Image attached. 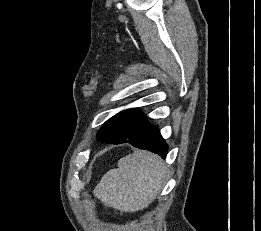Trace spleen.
I'll return each instance as SVG.
<instances>
[{
	"label": "spleen",
	"instance_id": "spleen-1",
	"mask_svg": "<svg viewBox=\"0 0 261 231\" xmlns=\"http://www.w3.org/2000/svg\"><path fill=\"white\" fill-rule=\"evenodd\" d=\"M167 168L161 158L145 151H135L118 161L94 189L104 205L121 212L146 208L156 197L166 179Z\"/></svg>",
	"mask_w": 261,
	"mask_h": 231
}]
</instances>
